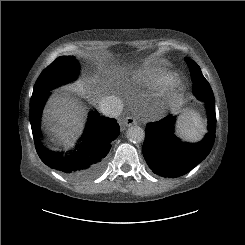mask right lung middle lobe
Returning <instances> with one entry per match:
<instances>
[{
	"label": "right lung middle lobe",
	"mask_w": 245,
	"mask_h": 245,
	"mask_svg": "<svg viewBox=\"0 0 245 245\" xmlns=\"http://www.w3.org/2000/svg\"><path fill=\"white\" fill-rule=\"evenodd\" d=\"M79 71V62L73 56L58 57L38 78L31 99H36L50 89L76 80Z\"/></svg>",
	"instance_id": "obj_1"
}]
</instances>
